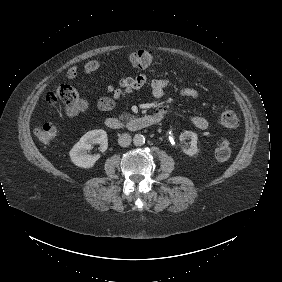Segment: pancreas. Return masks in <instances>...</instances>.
<instances>
[{
  "instance_id": "obj_1",
  "label": "pancreas",
  "mask_w": 282,
  "mask_h": 282,
  "mask_svg": "<svg viewBox=\"0 0 282 282\" xmlns=\"http://www.w3.org/2000/svg\"><path fill=\"white\" fill-rule=\"evenodd\" d=\"M118 115H119V119L125 120L126 122H130L131 120L136 118V116L131 115L130 113L127 112H122L119 113Z\"/></svg>"
}]
</instances>
